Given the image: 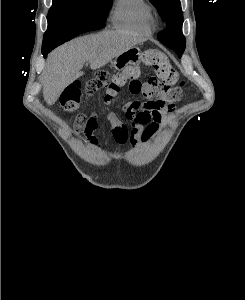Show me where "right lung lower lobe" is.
Masks as SVG:
<instances>
[{"instance_id": "obj_1", "label": "right lung lower lobe", "mask_w": 245, "mask_h": 300, "mask_svg": "<svg viewBox=\"0 0 245 300\" xmlns=\"http://www.w3.org/2000/svg\"><path fill=\"white\" fill-rule=\"evenodd\" d=\"M104 27V23L99 22V21H90V22H86L83 26H82V32H88V31H92V30H98ZM54 48L52 47H47V48H43L42 47V54L44 56V58L47 57V54Z\"/></svg>"}]
</instances>
